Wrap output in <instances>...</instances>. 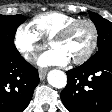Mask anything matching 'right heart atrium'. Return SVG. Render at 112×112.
Wrapping results in <instances>:
<instances>
[{
	"mask_svg": "<svg viewBox=\"0 0 112 112\" xmlns=\"http://www.w3.org/2000/svg\"><path fill=\"white\" fill-rule=\"evenodd\" d=\"M14 45L26 61L34 60L46 47V43L28 24H21L16 28Z\"/></svg>",
	"mask_w": 112,
	"mask_h": 112,
	"instance_id": "right-heart-atrium-1",
	"label": "right heart atrium"
}]
</instances>
